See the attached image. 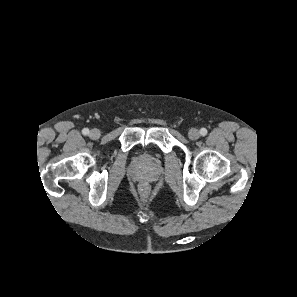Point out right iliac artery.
<instances>
[{"instance_id":"obj_1","label":"right iliac artery","mask_w":297,"mask_h":297,"mask_svg":"<svg viewBox=\"0 0 297 297\" xmlns=\"http://www.w3.org/2000/svg\"><path fill=\"white\" fill-rule=\"evenodd\" d=\"M83 135H88L89 134V129L88 128H84L82 130Z\"/></svg>"}]
</instances>
